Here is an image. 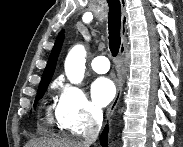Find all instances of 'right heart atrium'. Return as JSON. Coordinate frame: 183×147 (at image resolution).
<instances>
[{
    "label": "right heart atrium",
    "mask_w": 183,
    "mask_h": 147,
    "mask_svg": "<svg viewBox=\"0 0 183 147\" xmlns=\"http://www.w3.org/2000/svg\"><path fill=\"white\" fill-rule=\"evenodd\" d=\"M59 91L55 114L61 127L73 134H81L99 123L101 111L80 87L61 83Z\"/></svg>",
    "instance_id": "1"
}]
</instances>
